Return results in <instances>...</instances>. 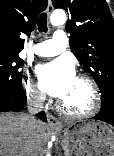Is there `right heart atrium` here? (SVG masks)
<instances>
[{"label":"right heart atrium","mask_w":114,"mask_h":156,"mask_svg":"<svg viewBox=\"0 0 114 156\" xmlns=\"http://www.w3.org/2000/svg\"><path fill=\"white\" fill-rule=\"evenodd\" d=\"M24 89L28 100L35 105H42L45 101L43 92L39 89L36 83L31 79L29 74L24 78Z\"/></svg>","instance_id":"right-heart-atrium-1"}]
</instances>
